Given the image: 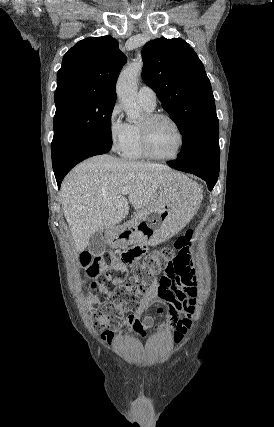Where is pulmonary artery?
Instances as JSON below:
<instances>
[{
  "label": "pulmonary artery",
  "mask_w": 274,
  "mask_h": 427,
  "mask_svg": "<svg viewBox=\"0 0 274 427\" xmlns=\"http://www.w3.org/2000/svg\"><path fill=\"white\" fill-rule=\"evenodd\" d=\"M137 99L140 105L146 110H154L157 106L156 94L148 86L142 85L137 93Z\"/></svg>",
  "instance_id": "1"
}]
</instances>
